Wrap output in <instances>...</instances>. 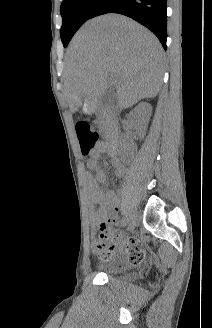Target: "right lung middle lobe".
Here are the masks:
<instances>
[{"instance_id": "1", "label": "right lung middle lobe", "mask_w": 212, "mask_h": 328, "mask_svg": "<svg viewBox=\"0 0 212 328\" xmlns=\"http://www.w3.org/2000/svg\"><path fill=\"white\" fill-rule=\"evenodd\" d=\"M100 0H63L60 13L62 16L61 40L67 46L75 32L90 19V14Z\"/></svg>"}]
</instances>
